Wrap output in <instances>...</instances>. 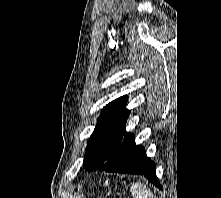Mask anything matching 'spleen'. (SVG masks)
Returning a JSON list of instances; mask_svg holds the SVG:
<instances>
[{"label": "spleen", "mask_w": 221, "mask_h": 198, "mask_svg": "<svg viewBox=\"0 0 221 198\" xmlns=\"http://www.w3.org/2000/svg\"><path fill=\"white\" fill-rule=\"evenodd\" d=\"M131 193L134 198H156L151 191L141 183H134L131 187Z\"/></svg>", "instance_id": "3e777b00"}]
</instances>
